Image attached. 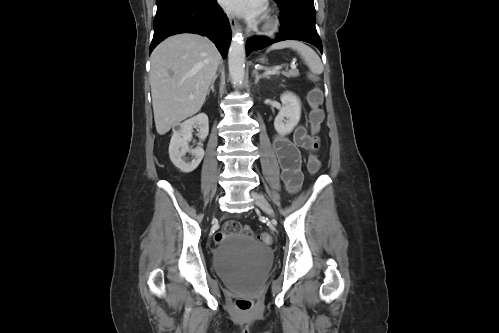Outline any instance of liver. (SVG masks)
I'll return each mask as SVG.
<instances>
[{
    "label": "liver",
    "instance_id": "1",
    "mask_svg": "<svg viewBox=\"0 0 499 333\" xmlns=\"http://www.w3.org/2000/svg\"><path fill=\"white\" fill-rule=\"evenodd\" d=\"M220 59L215 45L196 34L171 36L155 48L150 85L159 135L200 111Z\"/></svg>",
    "mask_w": 499,
    "mask_h": 333
}]
</instances>
